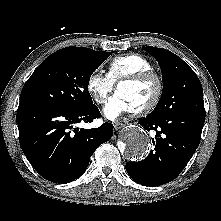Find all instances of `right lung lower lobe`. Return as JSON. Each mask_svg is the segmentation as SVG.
Wrapping results in <instances>:
<instances>
[{
    "label": "right lung lower lobe",
    "instance_id": "right-lung-lower-lobe-1",
    "mask_svg": "<svg viewBox=\"0 0 221 221\" xmlns=\"http://www.w3.org/2000/svg\"><path fill=\"white\" fill-rule=\"evenodd\" d=\"M101 116L93 105L70 110L54 105L20 102L17 124L21 148L33 168L45 179L68 183L81 176L97 147L113 135V125L78 129L75 124L90 123Z\"/></svg>",
    "mask_w": 221,
    "mask_h": 221
}]
</instances>
